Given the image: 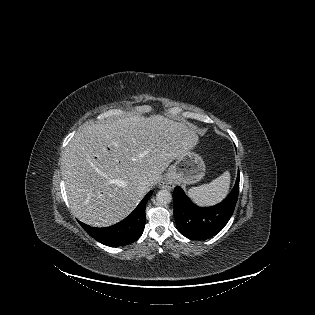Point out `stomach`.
Returning a JSON list of instances; mask_svg holds the SVG:
<instances>
[{
    "label": "stomach",
    "instance_id": "1",
    "mask_svg": "<svg viewBox=\"0 0 315 315\" xmlns=\"http://www.w3.org/2000/svg\"><path fill=\"white\" fill-rule=\"evenodd\" d=\"M205 174L203 159L196 153L189 152L176 159L165 174V181L169 183L194 184Z\"/></svg>",
    "mask_w": 315,
    "mask_h": 315
}]
</instances>
